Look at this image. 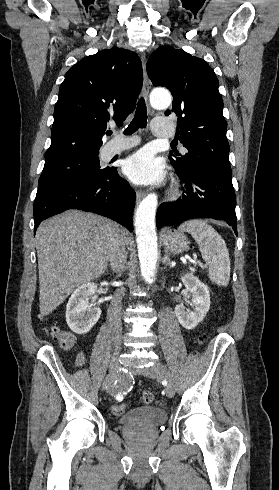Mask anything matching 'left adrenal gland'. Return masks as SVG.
<instances>
[{
	"mask_svg": "<svg viewBox=\"0 0 279 490\" xmlns=\"http://www.w3.org/2000/svg\"><path fill=\"white\" fill-rule=\"evenodd\" d=\"M162 264H165V266H172L168 254H165L164 258H162Z\"/></svg>",
	"mask_w": 279,
	"mask_h": 490,
	"instance_id": "a2214340",
	"label": "left adrenal gland"
}]
</instances>
